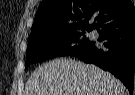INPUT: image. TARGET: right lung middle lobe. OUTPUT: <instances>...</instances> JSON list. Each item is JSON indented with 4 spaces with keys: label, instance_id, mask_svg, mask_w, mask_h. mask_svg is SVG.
I'll use <instances>...</instances> for the list:
<instances>
[{
    "label": "right lung middle lobe",
    "instance_id": "dd1d6c3e",
    "mask_svg": "<svg viewBox=\"0 0 135 95\" xmlns=\"http://www.w3.org/2000/svg\"><path fill=\"white\" fill-rule=\"evenodd\" d=\"M88 31H91L90 29ZM85 31L41 32L30 36L26 51V66L58 56H72L86 47L91 40Z\"/></svg>",
    "mask_w": 135,
    "mask_h": 95
}]
</instances>
